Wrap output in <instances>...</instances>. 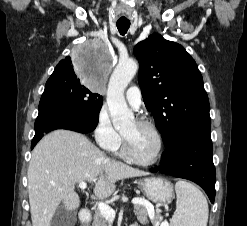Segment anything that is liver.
Listing matches in <instances>:
<instances>
[{"instance_id":"1","label":"liver","mask_w":247,"mask_h":226,"mask_svg":"<svg viewBox=\"0 0 247 226\" xmlns=\"http://www.w3.org/2000/svg\"><path fill=\"white\" fill-rule=\"evenodd\" d=\"M146 173L104 155L90 140L68 130L46 135L34 148L28 167L32 226H50L58 206L74 211L80 205L75 184H94V194L108 198L121 179Z\"/></svg>"}]
</instances>
